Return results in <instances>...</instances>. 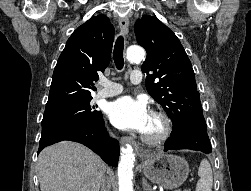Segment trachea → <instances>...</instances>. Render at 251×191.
Masks as SVG:
<instances>
[{
    "label": "trachea",
    "instance_id": "obj_1",
    "mask_svg": "<svg viewBox=\"0 0 251 191\" xmlns=\"http://www.w3.org/2000/svg\"><path fill=\"white\" fill-rule=\"evenodd\" d=\"M123 50H124V38L122 36H119L118 39L116 40L113 51V59L118 70L123 69L124 66Z\"/></svg>",
    "mask_w": 251,
    "mask_h": 191
}]
</instances>
